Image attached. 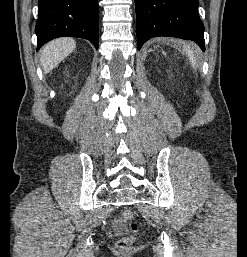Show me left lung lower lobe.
Masks as SVG:
<instances>
[{
	"label": "left lung lower lobe",
	"instance_id": "1",
	"mask_svg": "<svg viewBox=\"0 0 247 257\" xmlns=\"http://www.w3.org/2000/svg\"><path fill=\"white\" fill-rule=\"evenodd\" d=\"M198 6V0H135L138 50L152 37L170 36L195 41L205 51Z\"/></svg>",
	"mask_w": 247,
	"mask_h": 257
}]
</instances>
